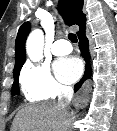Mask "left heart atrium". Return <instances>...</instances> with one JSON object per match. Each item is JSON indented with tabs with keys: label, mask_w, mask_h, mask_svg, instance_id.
<instances>
[{
	"label": "left heart atrium",
	"mask_w": 117,
	"mask_h": 131,
	"mask_svg": "<svg viewBox=\"0 0 117 131\" xmlns=\"http://www.w3.org/2000/svg\"><path fill=\"white\" fill-rule=\"evenodd\" d=\"M57 77L65 83L75 82L82 74V62L76 57L58 59L54 64Z\"/></svg>",
	"instance_id": "1"
}]
</instances>
